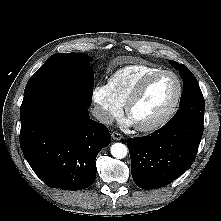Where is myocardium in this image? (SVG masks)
<instances>
[{
    "label": "myocardium",
    "mask_w": 221,
    "mask_h": 221,
    "mask_svg": "<svg viewBox=\"0 0 221 221\" xmlns=\"http://www.w3.org/2000/svg\"><path fill=\"white\" fill-rule=\"evenodd\" d=\"M161 75H170L175 79L176 84H177V91H176L175 97H174L172 103L166 109V111L160 117L155 119L154 121L147 123V124H134L135 128L138 131L149 132V131H153V130L160 128L161 126H163L165 123H167L170 120V118L173 116V114L175 113V111L180 103V100L182 97V92H183V86H182V82H181L179 76L171 70L160 69L158 71H155V72L145 76L137 84V86L135 87V89L133 90V92L131 93V95L129 96V98L127 99V101L125 103L126 115L129 117L131 109L137 103V101L140 99V97L144 93L148 84L153 79H155Z\"/></svg>",
    "instance_id": "1"
}]
</instances>
